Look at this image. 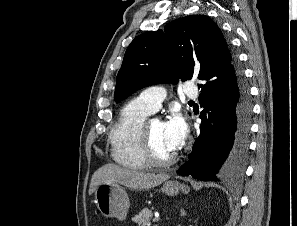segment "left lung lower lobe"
<instances>
[{
    "label": "left lung lower lobe",
    "mask_w": 297,
    "mask_h": 226,
    "mask_svg": "<svg viewBox=\"0 0 297 226\" xmlns=\"http://www.w3.org/2000/svg\"><path fill=\"white\" fill-rule=\"evenodd\" d=\"M236 74L200 85L199 102L204 107L200 135L190 159L177 172L195 179L238 183L245 169L249 146L252 105L242 70L235 60Z\"/></svg>",
    "instance_id": "1"
}]
</instances>
